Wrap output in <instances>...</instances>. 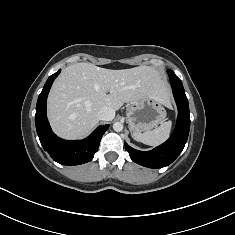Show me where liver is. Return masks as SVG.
<instances>
[{
	"label": "liver",
	"mask_w": 235,
	"mask_h": 235,
	"mask_svg": "<svg viewBox=\"0 0 235 235\" xmlns=\"http://www.w3.org/2000/svg\"><path fill=\"white\" fill-rule=\"evenodd\" d=\"M153 96L170 107L167 83L149 66L111 70L92 63L66 67L48 96V117L53 131L65 139L85 137L99 123L103 106L114 111L124 103Z\"/></svg>",
	"instance_id": "liver-1"
}]
</instances>
